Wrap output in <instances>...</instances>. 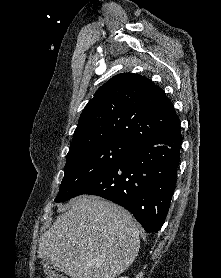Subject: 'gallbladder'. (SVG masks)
I'll use <instances>...</instances> for the list:
<instances>
[{"instance_id":"bac80fb5","label":"gallbladder","mask_w":221,"mask_h":278,"mask_svg":"<svg viewBox=\"0 0 221 278\" xmlns=\"http://www.w3.org/2000/svg\"><path fill=\"white\" fill-rule=\"evenodd\" d=\"M42 263L44 265H51L52 264L51 260L49 258L45 257V256L42 257Z\"/></svg>"}]
</instances>
